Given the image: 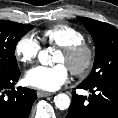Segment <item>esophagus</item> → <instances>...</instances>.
I'll list each match as a JSON object with an SVG mask.
<instances>
[{
    "label": "esophagus",
    "mask_w": 118,
    "mask_h": 118,
    "mask_svg": "<svg viewBox=\"0 0 118 118\" xmlns=\"http://www.w3.org/2000/svg\"><path fill=\"white\" fill-rule=\"evenodd\" d=\"M37 95H38V97H48V96L53 95V93L42 91V90H38L37 91Z\"/></svg>",
    "instance_id": "esophagus-1"
}]
</instances>
